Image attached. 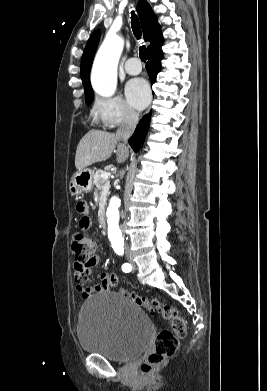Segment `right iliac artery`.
I'll return each mask as SVG.
<instances>
[{
    "label": "right iliac artery",
    "mask_w": 267,
    "mask_h": 391,
    "mask_svg": "<svg viewBox=\"0 0 267 391\" xmlns=\"http://www.w3.org/2000/svg\"><path fill=\"white\" fill-rule=\"evenodd\" d=\"M122 270H123L124 272H130V271H131V265L128 264V263L123 264Z\"/></svg>",
    "instance_id": "82829eb1"
}]
</instances>
